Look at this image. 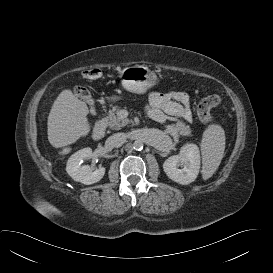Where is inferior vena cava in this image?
Wrapping results in <instances>:
<instances>
[{
	"instance_id": "inferior-vena-cava-1",
	"label": "inferior vena cava",
	"mask_w": 273,
	"mask_h": 273,
	"mask_svg": "<svg viewBox=\"0 0 273 273\" xmlns=\"http://www.w3.org/2000/svg\"><path fill=\"white\" fill-rule=\"evenodd\" d=\"M127 139V135L125 133L119 132L113 134L110 138L109 141L114 147H120L122 146Z\"/></svg>"
}]
</instances>
